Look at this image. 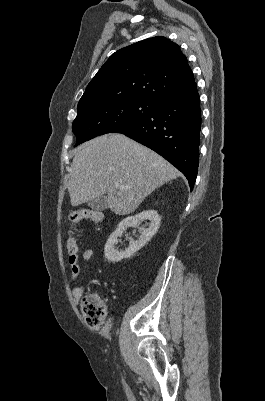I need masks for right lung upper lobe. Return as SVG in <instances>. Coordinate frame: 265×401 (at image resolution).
<instances>
[{"mask_svg": "<svg viewBox=\"0 0 265 401\" xmlns=\"http://www.w3.org/2000/svg\"><path fill=\"white\" fill-rule=\"evenodd\" d=\"M194 85L192 70L180 47L158 36L112 54L88 84L78 106L105 98L159 102Z\"/></svg>", "mask_w": 265, "mask_h": 401, "instance_id": "1", "label": "right lung upper lobe"}]
</instances>
